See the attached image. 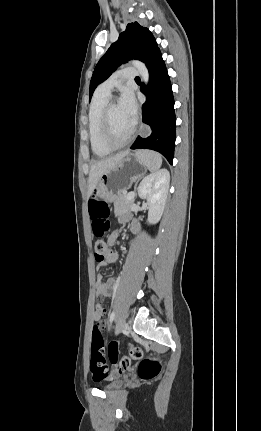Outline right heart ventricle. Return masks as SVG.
<instances>
[{"label":"right heart ventricle","mask_w":261,"mask_h":431,"mask_svg":"<svg viewBox=\"0 0 261 431\" xmlns=\"http://www.w3.org/2000/svg\"><path fill=\"white\" fill-rule=\"evenodd\" d=\"M108 101V95H104L96 91L89 109V141L91 150L97 157H106L113 151L103 143L101 137V115Z\"/></svg>","instance_id":"right-heart-ventricle-1"}]
</instances>
